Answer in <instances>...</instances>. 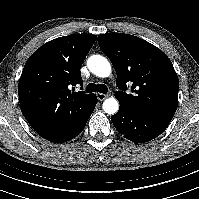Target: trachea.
<instances>
[{"label":"trachea","mask_w":199,"mask_h":199,"mask_svg":"<svg viewBox=\"0 0 199 199\" xmlns=\"http://www.w3.org/2000/svg\"><path fill=\"white\" fill-rule=\"evenodd\" d=\"M86 92L91 93V92H100L103 94H106L108 92V88L104 84H94L90 83L86 87Z\"/></svg>","instance_id":"3493384b"}]
</instances>
